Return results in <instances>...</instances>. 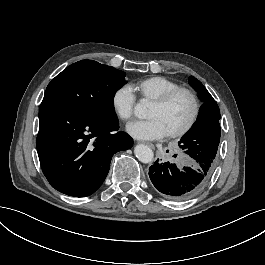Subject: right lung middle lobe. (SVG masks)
I'll list each match as a JSON object with an SVG mask.
<instances>
[{"mask_svg": "<svg viewBox=\"0 0 265 265\" xmlns=\"http://www.w3.org/2000/svg\"><path fill=\"white\" fill-rule=\"evenodd\" d=\"M125 73L93 60H81L59 73L47 86L41 104H57L92 118L117 121L113 98Z\"/></svg>", "mask_w": 265, "mask_h": 265, "instance_id": "right-lung-middle-lobe-1", "label": "right lung middle lobe"}]
</instances>
